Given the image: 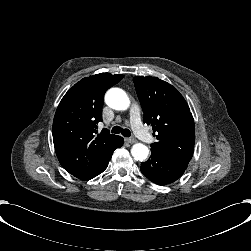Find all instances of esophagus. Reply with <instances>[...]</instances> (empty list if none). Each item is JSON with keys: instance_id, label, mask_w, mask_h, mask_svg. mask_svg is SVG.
Wrapping results in <instances>:
<instances>
[{"instance_id": "obj_1", "label": "esophagus", "mask_w": 251, "mask_h": 251, "mask_svg": "<svg viewBox=\"0 0 251 251\" xmlns=\"http://www.w3.org/2000/svg\"><path fill=\"white\" fill-rule=\"evenodd\" d=\"M126 141H127V143H129V144H133V143H136V142H137V140H136L135 138H127Z\"/></svg>"}]
</instances>
